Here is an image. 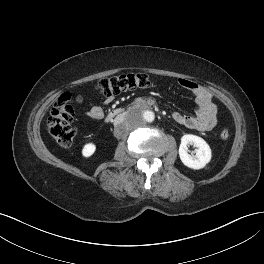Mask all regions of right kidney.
<instances>
[{"label": "right kidney", "instance_id": "obj_1", "mask_svg": "<svg viewBox=\"0 0 264 264\" xmlns=\"http://www.w3.org/2000/svg\"><path fill=\"white\" fill-rule=\"evenodd\" d=\"M96 151V146L93 143H87L84 145L83 149H82V155L84 157H90L94 154V152Z\"/></svg>", "mask_w": 264, "mask_h": 264}]
</instances>
